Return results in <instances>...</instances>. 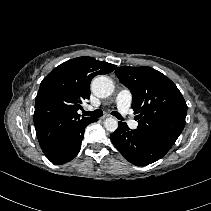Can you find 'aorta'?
<instances>
[{
    "label": "aorta",
    "instance_id": "762f6f07",
    "mask_svg": "<svg viewBox=\"0 0 211 211\" xmlns=\"http://www.w3.org/2000/svg\"><path fill=\"white\" fill-rule=\"evenodd\" d=\"M93 93L99 98H106L114 91L112 80L106 76H97L91 85ZM104 127L109 132H114L118 128V122L115 118L109 117L104 122Z\"/></svg>",
    "mask_w": 211,
    "mask_h": 211
}]
</instances>
